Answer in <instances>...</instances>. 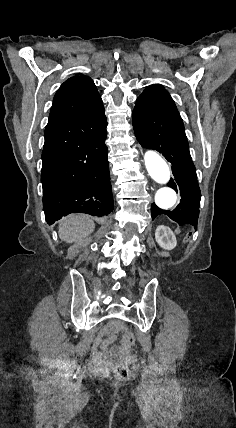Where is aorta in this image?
Segmentation results:
<instances>
[{
    "label": "aorta",
    "mask_w": 236,
    "mask_h": 428,
    "mask_svg": "<svg viewBox=\"0 0 236 428\" xmlns=\"http://www.w3.org/2000/svg\"><path fill=\"white\" fill-rule=\"evenodd\" d=\"M146 169L151 178L161 185L155 194L157 207L163 210L172 208L177 200L176 192L166 186L170 179V169L164 159L155 151H147L144 155Z\"/></svg>",
    "instance_id": "aorta-1"
}]
</instances>
